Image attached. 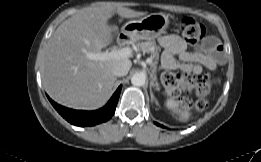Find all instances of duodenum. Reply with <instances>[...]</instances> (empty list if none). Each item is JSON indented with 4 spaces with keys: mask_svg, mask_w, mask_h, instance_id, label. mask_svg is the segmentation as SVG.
Returning a JSON list of instances; mask_svg holds the SVG:
<instances>
[{
    "mask_svg": "<svg viewBox=\"0 0 261 162\" xmlns=\"http://www.w3.org/2000/svg\"><path fill=\"white\" fill-rule=\"evenodd\" d=\"M127 40H128V37L124 34H121L117 41H118L119 45H124L127 42Z\"/></svg>",
    "mask_w": 261,
    "mask_h": 162,
    "instance_id": "410a0bca",
    "label": "duodenum"
}]
</instances>
